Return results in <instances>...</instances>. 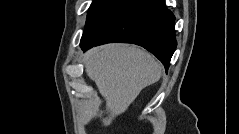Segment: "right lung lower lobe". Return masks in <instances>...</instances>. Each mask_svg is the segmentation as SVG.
Masks as SVG:
<instances>
[{
    "instance_id": "1",
    "label": "right lung lower lobe",
    "mask_w": 239,
    "mask_h": 134,
    "mask_svg": "<svg viewBox=\"0 0 239 134\" xmlns=\"http://www.w3.org/2000/svg\"><path fill=\"white\" fill-rule=\"evenodd\" d=\"M174 20L164 0H126L81 38L80 45L87 50L109 42L133 43L153 53L168 70L177 45Z\"/></svg>"
}]
</instances>
